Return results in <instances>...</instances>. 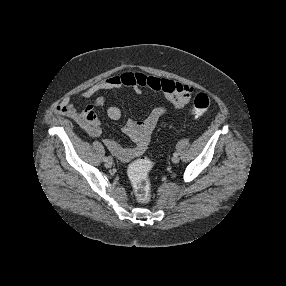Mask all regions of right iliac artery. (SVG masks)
<instances>
[{
	"label": "right iliac artery",
	"instance_id": "right-iliac-artery-1",
	"mask_svg": "<svg viewBox=\"0 0 286 286\" xmlns=\"http://www.w3.org/2000/svg\"><path fill=\"white\" fill-rule=\"evenodd\" d=\"M108 160H111V157H109V156L107 157V156H106V157L103 158V161H104V162H106V161H108Z\"/></svg>",
	"mask_w": 286,
	"mask_h": 286
}]
</instances>
